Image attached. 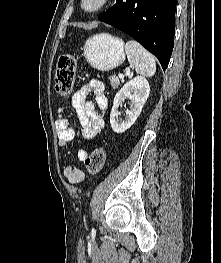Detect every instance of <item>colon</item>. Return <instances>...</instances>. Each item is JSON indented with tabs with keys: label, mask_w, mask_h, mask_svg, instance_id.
<instances>
[{
	"label": "colon",
	"mask_w": 221,
	"mask_h": 263,
	"mask_svg": "<svg viewBox=\"0 0 221 263\" xmlns=\"http://www.w3.org/2000/svg\"><path fill=\"white\" fill-rule=\"evenodd\" d=\"M76 58L72 54H64L58 60L55 75V91L60 97H68L74 87ZM106 160V150L102 147L93 150L85 159L88 173L94 175L101 171Z\"/></svg>",
	"instance_id": "1"
}]
</instances>
